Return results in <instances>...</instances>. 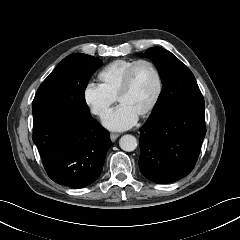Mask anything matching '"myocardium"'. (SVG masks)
I'll return each instance as SVG.
<instances>
[{"label": "myocardium", "mask_w": 240, "mask_h": 240, "mask_svg": "<svg viewBox=\"0 0 240 240\" xmlns=\"http://www.w3.org/2000/svg\"><path fill=\"white\" fill-rule=\"evenodd\" d=\"M140 64L148 65L152 69V71L154 72L156 80H157V90H156L155 96L152 99L149 106L139 116V118H146L156 108L157 104L160 101V98H161L162 93H163V88H164L162 74H161L160 70L158 69V67L156 66V64L153 61H151L149 59H138V60H135L129 66V68L126 70V72L124 74L122 85H121L119 93L117 95V101L120 103L121 99L129 92V90L131 88V81H132L133 72H134L135 68Z\"/></svg>", "instance_id": "obj_1"}]
</instances>
